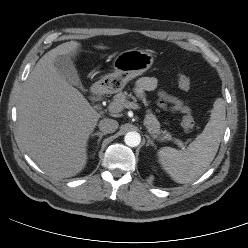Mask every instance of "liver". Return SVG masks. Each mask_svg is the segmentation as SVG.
<instances>
[{"label": "liver", "mask_w": 248, "mask_h": 248, "mask_svg": "<svg viewBox=\"0 0 248 248\" xmlns=\"http://www.w3.org/2000/svg\"><path fill=\"white\" fill-rule=\"evenodd\" d=\"M80 47L79 42L70 41L47 52L29 74L17 106L23 148L55 178L73 177L83 170L88 138L101 117L54 64L59 56L75 57Z\"/></svg>", "instance_id": "1"}]
</instances>
